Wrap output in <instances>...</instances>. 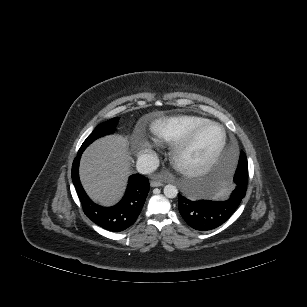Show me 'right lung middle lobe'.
<instances>
[{
	"label": "right lung middle lobe",
	"mask_w": 307,
	"mask_h": 307,
	"mask_svg": "<svg viewBox=\"0 0 307 307\" xmlns=\"http://www.w3.org/2000/svg\"><path fill=\"white\" fill-rule=\"evenodd\" d=\"M118 119L117 117L103 122L101 124H99L94 130L93 132L86 138V140L83 142L81 148L79 150L84 151L85 148L87 146H89L94 140H96L97 138H100L104 135L107 134H111L114 132L116 125L118 123Z\"/></svg>",
	"instance_id": "right-lung-middle-lobe-1"
}]
</instances>
